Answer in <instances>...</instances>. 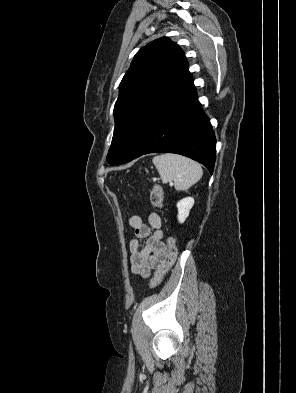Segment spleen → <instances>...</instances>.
Here are the masks:
<instances>
[{
  "label": "spleen",
  "mask_w": 296,
  "mask_h": 393,
  "mask_svg": "<svg viewBox=\"0 0 296 393\" xmlns=\"http://www.w3.org/2000/svg\"><path fill=\"white\" fill-rule=\"evenodd\" d=\"M163 183L174 182L175 189L184 191L197 183L203 171L201 166L181 155L163 154L155 156L152 160Z\"/></svg>",
  "instance_id": "1"
}]
</instances>
